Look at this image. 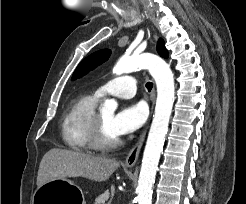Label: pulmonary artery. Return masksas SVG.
I'll return each mask as SVG.
<instances>
[{"label": "pulmonary artery", "mask_w": 246, "mask_h": 204, "mask_svg": "<svg viewBox=\"0 0 246 204\" xmlns=\"http://www.w3.org/2000/svg\"><path fill=\"white\" fill-rule=\"evenodd\" d=\"M137 79L133 75H123L113 78L100 86L95 92L96 96L110 94L119 98L128 99L135 95Z\"/></svg>", "instance_id": "e3ab8cb5"}]
</instances>
